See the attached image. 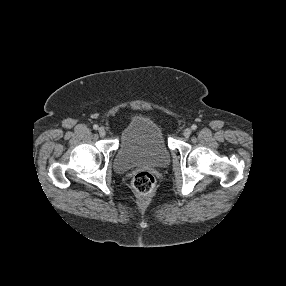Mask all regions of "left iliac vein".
<instances>
[{"label": "left iliac vein", "instance_id": "left-iliac-vein-1", "mask_svg": "<svg viewBox=\"0 0 286 286\" xmlns=\"http://www.w3.org/2000/svg\"><path fill=\"white\" fill-rule=\"evenodd\" d=\"M192 131L190 128H186L184 131H183V135L184 137L188 138L190 135H191Z\"/></svg>", "mask_w": 286, "mask_h": 286}]
</instances>
